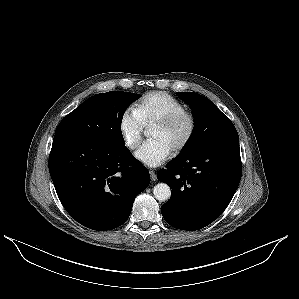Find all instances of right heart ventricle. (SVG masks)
<instances>
[{
    "instance_id": "1",
    "label": "right heart ventricle",
    "mask_w": 299,
    "mask_h": 299,
    "mask_svg": "<svg viewBox=\"0 0 299 299\" xmlns=\"http://www.w3.org/2000/svg\"><path fill=\"white\" fill-rule=\"evenodd\" d=\"M135 109L147 128L152 127L160 120L186 111L181 102L161 91L145 94L138 101Z\"/></svg>"
}]
</instances>
